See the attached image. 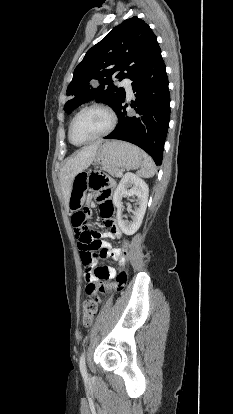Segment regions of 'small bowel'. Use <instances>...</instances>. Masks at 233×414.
Wrapping results in <instances>:
<instances>
[{"instance_id":"1","label":"small bowel","mask_w":233,"mask_h":414,"mask_svg":"<svg viewBox=\"0 0 233 414\" xmlns=\"http://www.w3.org/2000/svg\"><path fill=\"white\" fill-rule=\"evenodd\" d=\"M97 197H99L98 193H97ZM109 200H110V197H109ZM103 219L105 221L106 226L109 227V231L106 232L104 234V236L110 237L114 240L120 239L121 236H122V232H121L120 228L118 227L116 220L113 218V214L110 215L107 218L103 217ZM76 235H77V238H78L77 231H76ZM117 250L118 249H112L111 246L108 245V244H103L102 243V251L104 252L103 257L113 258V259L117 260V258L115 256V253H116ZM105 267L107 269V275H106L105 279L116 277L117 271L113 267H107V266H105ZM95 269H96V267H95V263H94L93 268L89 271H86L85 278H86V281H87L88 284H96L100 281L98 275L96 274Z\"/></svg>"}]
</instances>
